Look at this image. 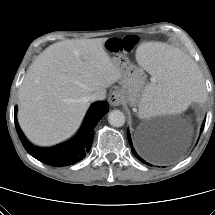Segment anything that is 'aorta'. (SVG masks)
Returning <instances> with one entry per match:
<instances>
[{
  "mask_svg": "<svg viewBox=\"0 0 215 215\" xmlns=\"http://www.w3.org/2000/svg\"><path fill=\"white\" fill-rule=\"evenodd\" d=\"M108 122L113 127H121L125 124V116L120 110H112L108 115Z\"/></svg>",
  "mask_w": 215,
  "mask_h": 215,
  "instance_id": "762f6f07",
  "label": "aorta"
}]
</instances>
